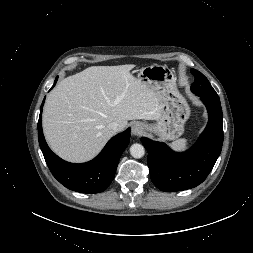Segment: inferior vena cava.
<instances>
[{
	"instance_id": "602c4592",
	"label": "inferior vena cava",
	"mask_w": 253,
	"mask_h": 253,
	"mask_svg": "<svg viewBox=\"0 0 253 253\" xmlns=\"http://www.w3.org/2000/svg\"><path fill=\"white\" fill-rule=\"evenodd\" d=\"M109 129L113 132H117L120 128L119 124L117 122H112L108 125Z\"/></svg>"
}]
</instances>
